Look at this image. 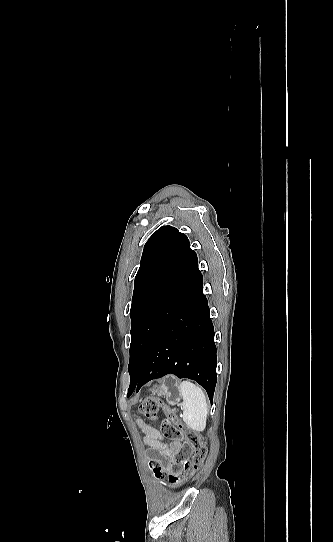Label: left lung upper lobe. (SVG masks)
<instances>
[{
	"label": "left lung upper lobe",
	"mask_w": 333,
	"mask_h": 542,
	"mask_svg": "<svg viewBox=\"0 0 333 542\" xmlns=\"http://www.w3.org/2000/svg\"><path fill=\"white\" fill-rule=\"evenodd\" d=\"M200 277L197 255L185 234L171 226L153 233L144 246L134 281L128 365L131 378L141 370L158 331Z\"/></svg>",
	"instance_id": "obj_1"
}]
</instances>
